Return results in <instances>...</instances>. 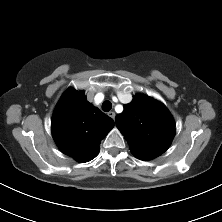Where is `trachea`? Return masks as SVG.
<instances>
[{"label":"trachea","mask_w":222,"mask_h":222,"mask_svg":"<svg viewBox=\"0 0 222 222\" xmlns=\"http://www.w3.org/2000/svg\"><path fill=\"white\" fill-rule=\"evenodd\" d=\"M111 108H112V103L110 101L106 100L103 102L102 104L103 111L108 112L111 110Z\"/></svg>","instance_id":"trachea-1"}]
</instances>
